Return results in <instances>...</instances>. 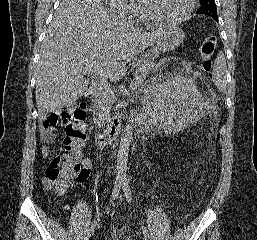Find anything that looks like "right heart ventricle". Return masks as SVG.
Instances as JSON below:
<instances>
[{
  "instance_id": "e07e8e85",
  "label": "right heart ventricle",
  "mask_w": 257,
  "mask_h": 240,
  "mask_svg": "<svg viewBox=\"0 0 257 240\" xmlns=\"http://www.w3.org/2000/svg\"><path fill=\"white\" fill-rule=\"evenodd\" d=\"M136 3L140 9V15H139L138 22L145 24L147 26L155 25V22L149 17V15L147 13L144 0H137Z\"/></svg>"
}]
</instances>
